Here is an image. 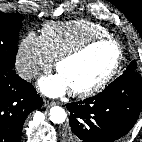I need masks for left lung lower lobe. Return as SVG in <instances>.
<instances>
[{
	"mask_svg": "<svg viewBox=\"0 0 142 142\" xmlns=\"http://www.w3.org/2000/svg\"><path fill=\"white\" fill-rule=\"evenodd\" d=\"M66 142H115L136 123L142 107V78L137 71L122 74L101 93L68 103Z\"/></svg>",
	"mask_w": 142,
	"mask_h": 142,
	"instance_id": "obj_1",
	"label": "left lung lower lobe"
}]
</instances>
